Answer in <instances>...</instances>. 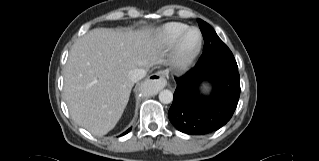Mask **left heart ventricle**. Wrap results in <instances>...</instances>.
Returning a JSON list of instances; mask_svg holds the SVG:
<instances>
[{
	"mask_svg": "<svg viewBox=\"0 0 319 161\" xmlns=\"http://www.w3.org/2000/svg\"><path fill=\"white\" fill-rule=\"evenodd\" d=\"M198 33L196 31L189 32L186 37L184 38L182 48L184 52H189L195 48L198 43Z\"/></svg>",
	"mask_w": 319,
	"mask_h": 161,
	"instance_id": "b2bd125f",
	"label": "left heart ventricle"
}]
</instances>
